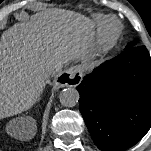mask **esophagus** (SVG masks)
<instances>
[{"label": "esophagus", "mask_w": 151, "mask_h": 151, "mask_svg": "<svg viewBox=\"0 0 151 151\" xmlns=\"http://www.w3.org/2000/svg\"><path fill=\"white\" fill-rule=\"evenodd\" d=\"M82 80V72L79 66H72L60 73L53 82V88L75 87Z\"/></svg>", "instance_id": "1"}]
</instances>
